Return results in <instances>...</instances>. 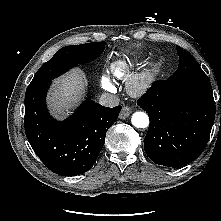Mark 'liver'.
Returning <instances> with one entry per match:
<instances>
[{
  "label": "liver",
  "mask_w": 221,
  "mask_h": 221,
  "mask_svg": "<svg viewBox=\"0 0 221 221\" xmlns=\"http://www.w3.org/2000/svg\"><path fill=\"white\" fill-rule=\"evenodd\" d=\"M87 80L80 69L71 70L55 81L48 97L52 113L59 119L65 118L85 94Z\"/></svg>",
  "instance_id": "liver-1"
}]
</instances>
